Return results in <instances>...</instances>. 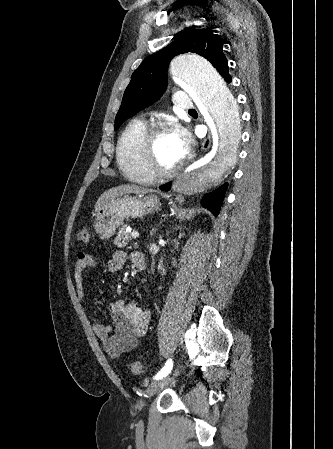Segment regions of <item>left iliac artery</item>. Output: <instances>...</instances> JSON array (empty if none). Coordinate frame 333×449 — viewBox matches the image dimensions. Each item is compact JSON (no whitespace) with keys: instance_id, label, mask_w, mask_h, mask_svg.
<instances>
[{"instance_id":"1","label":"left iliac artery","mask_w":333,"mask_h":449,"mask_svg":"<svg viewBox=\"0 0 333 449\" xmlns=\"http://www.w3.org/2000/svg\"><path fill=\"white\" fill-rule=\"evenodd\" d=\"M172 367H173L172 360L171 359L167 360L163 368L154 376V379L158 380L167 376L171 372Z\"/></svg>"}]
</instances>
